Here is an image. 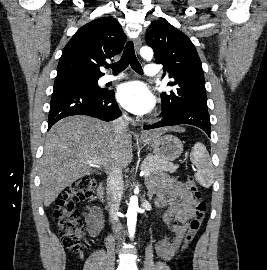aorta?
<instances>
[{"label":"aorta","instance_id":"1","mask_svg":"<svg viewBox=\"0 0 267 270\" xmlns=\"http://www.w3.org/2000/svg\"><path fill=\"white\" fill-rule=\"evenodd\" d=\"M140 55L145 60L150 61L153 58V50L150 47H142L140 49ZM138 210V198L136 196H132L130 198L127 210V226L130 237H133L135 234Z\"/></svg>","mask_w":267,"mask_h":270}]
</instances>
